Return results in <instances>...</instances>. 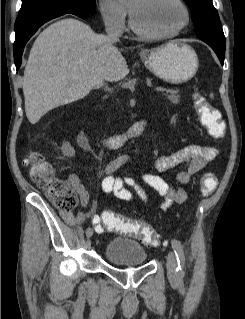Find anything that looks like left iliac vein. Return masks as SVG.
I'll list each match as a JSON object with an SVG mask.
<instances>
[{
  "instance_id": "1",
  "label": "left iliac vein",
  "mask_w": 245,
  "mask_h": 319,
  "mask_svg": "<svg viewBox=\"0 0 245 319\" xmlns=\"http://www.w3.org/2000/svg\"><path fill=\"white\" fill-rule=\"evenodd\" d=\"M176 267V257L173 252H169L167 255V275L171 282L177 281Z\"/></svg>"
}]
</instances>
